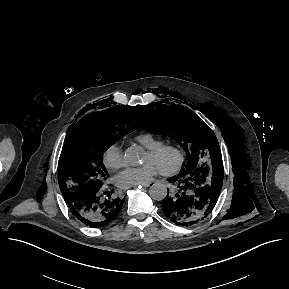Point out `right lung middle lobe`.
Returning a JSON list of instances; mask_svg holds the SVG:
<instances>
[{"mask_svg":"<svg viewBox=\"0 0 289 289\" xmlns=\"http://www.w3.org/2000/svg\"><path fill=\"white\" fill-rule=\"evenodd\" d=\"M137 128L125 118L77 123L66 137L61 154L58 180L65 200L100 189L108 175L103 153Z\"/></svg>","mask_w":289,"mask_h":289,"instance_id":"dd1d6c3e","label":"right lung middle lobe"}]
</instances>
